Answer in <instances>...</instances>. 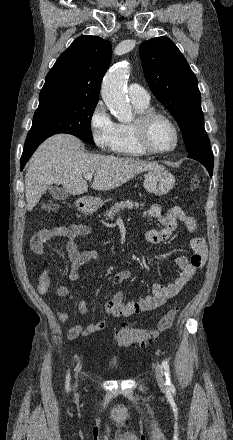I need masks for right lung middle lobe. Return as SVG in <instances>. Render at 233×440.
<instances>
[{
	"instance_id": "1",
	"label": "right lung middle lobe",
	"mask_w": 233,
	"mask_h": 440,
	"mask_svg": "<svg viewBox=\"0 0 233 440\" xmlns=\"http://www.w3.org/2000/svg\"><path fill=\"white\" fill-rule=\"evenodd\" d=\"M98 101L55 98L40 102L29 134H72L94 144L91 118Z\"/></svg>"
}]
</instances>
